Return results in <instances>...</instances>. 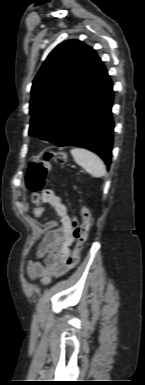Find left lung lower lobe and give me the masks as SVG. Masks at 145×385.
Segmentation results:
<instances>
[{
  "mask_svg": "<svg viewBox=\"0 0 145 385\" xmlns=\"http://www.w3.org/2000/svg\"><path fill=\"white\" fill-rule=\"evenodd\" d=\"M112 102V82L98 58L84 91L61 122L51 141L56 146L87 148L99 154L109 166L114 129Z\"/></svg>",
  "mask_w": 145,
  "mask_h": 385,
  "instance_id": "0a47b994",
  "label": "left lung lower lobe"
}]
</instances>
